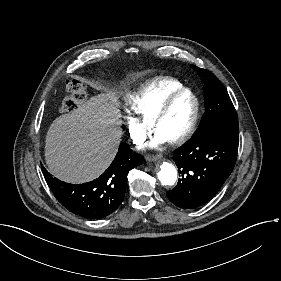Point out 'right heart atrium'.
I'll return each instance as SVG.
<instances>
[{"instance_id":"right-heart-atrium-1","label":"right heart atrium","mask_w":281,"mask_h":281,"mask_svg":"<svg viewBox=\"0 0 281 281\" xmlns=\"http://www.w3.org/2000/svg\"><path fill=\"white\" fill-rule=\"evenodd\" d=\"M124 122L128 130L130 140L134 144H139L145 137V128L136 121L133 111L130 108L126 109Z\"/></svg>"}]
</instances>
